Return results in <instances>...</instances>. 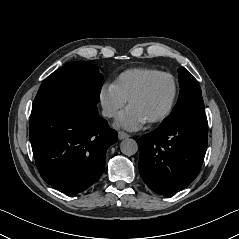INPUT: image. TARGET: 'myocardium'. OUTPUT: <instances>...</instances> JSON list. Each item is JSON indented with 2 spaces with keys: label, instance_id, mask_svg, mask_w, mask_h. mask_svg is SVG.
<instances>
[{
  "label": "myocardium",
  "instance_id": "f54148a6",
  "mask_svg": "<svg viewBox=\"0 0 239 239\" xmlns=\"http://www.w3.org/2000/svg\"><path fill=\"white\" fill-rule=\"evenodd\" d=\"M159 78H168L171 81L172 95H171L170 101H169L168 105L166 106V108L158 115L148 119L147 120L148 123L160 122V121L164 120L166 117H168V115L171 113L173 106L175 104V101H176V97H177V84H176L174 77L169 73L159 72V73L151 76L150 78H148L136 91H134L131 94V96L128 99V105H130L134 100H136L137 98L142 96L146 92L148 87Z\"/></svg>",
  "mask_w": 239,
  "mask_h": 239
}]
</instances>
